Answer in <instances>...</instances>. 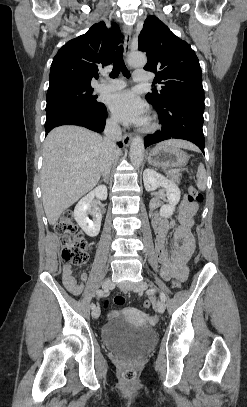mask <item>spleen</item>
I'll return each instance as SVG.
<instances>
[{"instance_id":"1","label":"spleen","mask_w":247,"mask_h":407,"mask_svg":"<svg viewBox=\"0 0 247 407\" xmlns=\"http://www.w3.org/2000/svg\"><path fill=\"white\" fill-rule=\"evenodd\" d=\"M196 177H197L196 185L198 189L204 191L206 189L207 175L204 165L202 163H200L198 166Z\"/></svg>"}]
</instances>
